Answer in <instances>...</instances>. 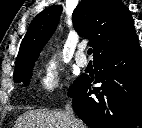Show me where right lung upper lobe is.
Masks as SVG:
<instances>
[{
  "label": "right lung upper lobe",
  "mask_w": 142,
  "mask_h": 128,
  "mask_svg": "<svg viewBox=\"0 0 142 128\" xmlns=\"http://www.w3.org/2000/svg\"><path fill=\"white\" fill-rule=\"evenodd\" d=\"M61 11V5H53L34 18L20 45L16 65L38 58L56 29ZM72 20L81 36L92 38L94 61L138 42L133 18L121 0H83L75 8Z\"/></svg>",
  "instance_id": "1"
}]
</instances>
